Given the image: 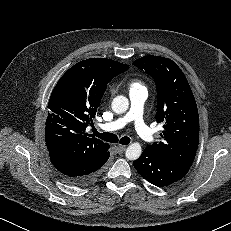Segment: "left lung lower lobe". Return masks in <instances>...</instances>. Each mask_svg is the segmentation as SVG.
I'll list each match as a JSON object with an SVG mask.
<instances>
[{
	"label": "left lung lower lobe",
	"instance_id": "1",
	"mask_svg": "<svg viewBox=\"0 0 231 231\" xmlns=\"http://www.w3.org/2000/svg\"><path fill=\"white\" fill-rule=\"evenodd\" d=\"M133 164L144 179L158 187L177 182L187 174L191 167L162 159L147 148Z\"/></svg>",
	"mask_w": 231,
	"mask_h": 231
}]
</instances>
